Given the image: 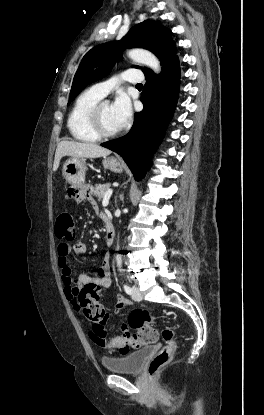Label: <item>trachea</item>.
I'll list each match as a JSON object with an SVG mask.
<instances>
[{
  "mask_svg": "<svg viewBox=\"0 0 264 415\" xmlns=\"http://www.w3.org/2000/svg\"><path fill=\"white\" fill-rule=\"evenodd\" d=\"M136 86H137V87H142V84H141V83H139V84H137Z\"/></svg>",
  "mask_w": 264,
  "mask_h": 415,
  "instance_id": "3493384b",
  "label": "trachea"
}]
</instances>
